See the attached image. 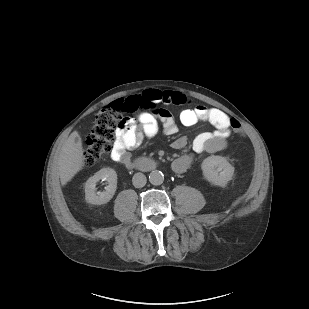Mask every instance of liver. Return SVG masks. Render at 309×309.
I'll use <instances>...</instances> for the list:
<instances>
[{
    "label": "liver",
    "instance_id": "1",
    "mask_svg": "<svg viewBox=\"0 0 309 309\" xmlns=\"http://www.w3.org/2000/svg\"><path fill=\"white\" fill-rule=\"evenodd\" d=\"M83 153L80 134L73 131L62 146L59 154L58 168L62 185H66L82 170L85 160Z\"/></svg>",
    "mask_w": 309,
    "mask_h": 309
}]
</instances>
